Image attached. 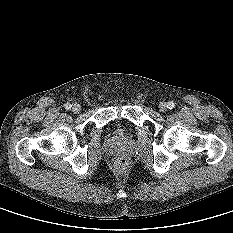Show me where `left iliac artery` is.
<instances>
[{"mask_svg": "<svg viewBox=\"0 0 233 233\" xmlns=\"http://www.w3.org/2000/svg\"><path fill=\"white\" fill-rule=\"evenodd\" d=\"M167 107H168L169 109H173V108L175 107V103L172 102V101H170V102H168Z\"/></svg>", "mask_w": 233, "mask_h": 233, "instance_id": "left-iliac-artery-1", "label": "left iliac artery"}]
</instances>
